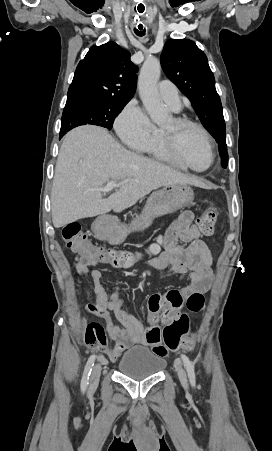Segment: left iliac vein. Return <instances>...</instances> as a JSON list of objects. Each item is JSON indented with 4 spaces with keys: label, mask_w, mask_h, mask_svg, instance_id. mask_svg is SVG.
<instances>
[{
    "label": "left iliac vein",
    "mask_w": 272,
    "mask_h": 451,
    "mask_svg": "<svg viewBox=\"0 0 272 451\" xmlns=\"http://www.w3.org/2000/svg\"><path fill=\"white\" fill-rule=\"evenodd\" d=\"M175 367H176V370L178 372V376H179L180 382L182 383L184 388L187 389L188 382H187V376H186L185 370L183 369L182 365L179 362L176 363Z\"/></svg>",
    "instance_id": "1"
}]
</instances>
